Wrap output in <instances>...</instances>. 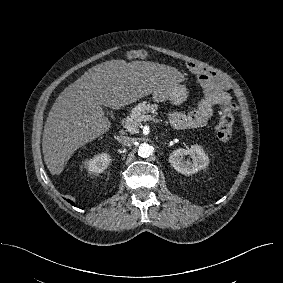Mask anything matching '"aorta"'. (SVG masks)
I'll list each match as a JSON object with an SVG mask.
<instances>
[{"mask_svg":"<svg viewBox=\"0 0 283 283\" xmlns=\"http://www.w3.org/2000/svg\"><path fill=\"white\" fill-rule=\"evenodd\" d=\"M151 153H152V147L147 143H142L138 147V155L140 157L147 158L151 155Z\"/></svg>","mask_w":283,"mask_h":283,"instance_id":"762f6f07","label":"aorta"}]
</instances>
